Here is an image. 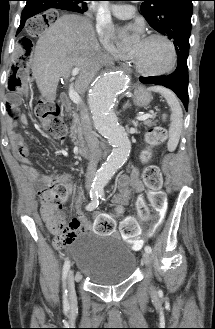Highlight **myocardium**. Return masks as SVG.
Segmentation results:
<instances>
[{"label":"myocardium","instance_id":"myocardium-1","mask_svg":"<svg viewBox=\"0 0 215 329\" xmlns=\"http://www.w3.org/2000/svg\"><path fill=\"white\" fill-rule=\"evenodd\" d=\"M147 39H160V40L165 41L171 49L172 62L167 68H165L163 70L148 71V70H145L144 68H142L140 66V64L137 62L136 58L130 54V61H131V64L133 65V67L135 68V70L142 75L150 76V77H158V76H163V75H167V74L171 73L176 68L177 63H178V50H177L175 43L172 41V39H170L168 36L163 35V34H151L147 37Z\"/></svg>","mask_w":215,"mask_h":329}]
</instances>
